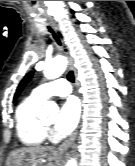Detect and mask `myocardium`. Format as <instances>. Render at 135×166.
<instances>
[{
	"instance_id": "myocardium-1",
	"label": "myocardium",
	"mask_w": 135,
	"mask_h": 166,
	"mask_svg": "<svg viewBox=\"0 0 135 166\" xmlns=\"http://www.w3.org/2000/svg\"><path fill=\"white\" fill-rule=\"evenodd\" d=\"M40 122L43 126V128L46 130V131H49L50 130V125L46 124L43 120L40 119Z\"/></svg>"
}]
</instances>
